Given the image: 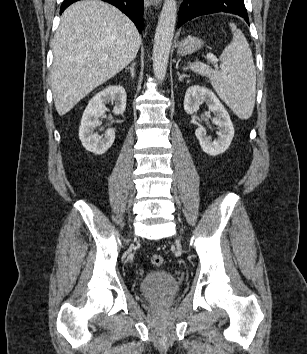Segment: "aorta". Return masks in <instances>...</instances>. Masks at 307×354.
<instances>
[{"label": "aorta", "mask_w": 307, "mask_h": 354, "mask_svg": "<svg viewBox=\"0 0 307 354\" xmlns=\"http://www.w3.org/2000/svg\"><path fill=\"white\" fill-rule=\"evenodd\" d=\"M176 17V1L165 0L156 28L152 55L153 71L159 81H163L166 75Z\"/></svg>", "instance_id": "762f6f07"}]
</instances>
